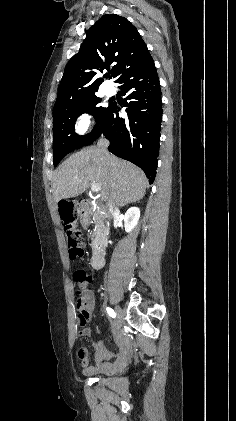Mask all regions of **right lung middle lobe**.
Segmentation results:
<instances>
[{
    "instance_id": "1",
    "label": "right lung middle lobe",
    "mask_w": 236,
    "mask_h": 421,
    "mask_svg": "<svg viewBox=\"0 0 236 421\" xmlns=\"http://www.w3.org/2000/svg\"><path fill=\"white\" fill-rule=\"evenodd\" d=\"M101 98L96 95L86 96L67 102L53 110V161L54 166L63 159L65 155L75 149L81 148L84 143L98 131V124L91 133L85 137L75 134L74 124L82 113L92 114L96 121L102 124L108 107H101Z\"/></svg>"
}]
</instances>
